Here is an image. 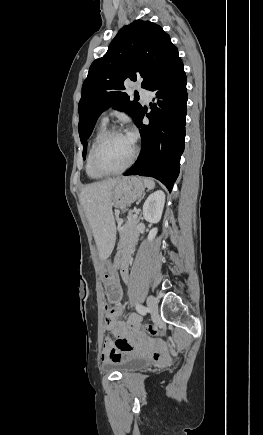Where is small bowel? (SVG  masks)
Returning a JSON list of instances; mask_svg holds the SVG:
<instances>
[{"label":"small bowel","mask_w":263,"mask_h":435,"mask_svg":"<svg viewBox=\"0 0 263 435\" xmlns=\"http://www.w3.org/2000/svg\"><path fill=\"white\" fill-rule=\"evenodd\" d=\"M134 246L135 239H128L125 247L118 251L114 257V261H122L124 264L123 270L125 275L121 279L125 282L129 280V264ZM122 312V305L108 306L105 327L107 331L112 333L107 337L112 341L113 348L112 350L102 349V361H119L128 355H138L140 353V349L144 348L145 354L150 356L152 361H154L156 364H164L166 359H169V354H163V349L166 348V343L163 341L154 343L156 337L153 334L144 335L142 332V319L139 315H131L127 322L120 320L119 316L122 314ZM118 339L121 341H118ZM141 339L145 342L141 343Z\"/></svg>","instance_id":"small-bowel-1"}]
</instances>
